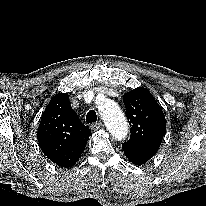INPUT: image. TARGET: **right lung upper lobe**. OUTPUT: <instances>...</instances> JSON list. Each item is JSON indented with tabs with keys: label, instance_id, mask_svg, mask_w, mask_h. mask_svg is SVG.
<instances>
[{
	"label": "right lung upper lobe",
	"instance_id": "1",
	"mask_svg": "<svg viewBox=\"0 0 206 206\" xmlns=\"http://www.w3.org/2000/svg\"><path fill=\"white\" fill-rule=\"evenodd\" d=\"M91 135L72 109L68 93L56 94L47 105L37 131L44 155L60 167L70 168L81 157Z\"/></svg>",
	"mask_w": 206,
	"mask_h": 206
}]
</instances>
